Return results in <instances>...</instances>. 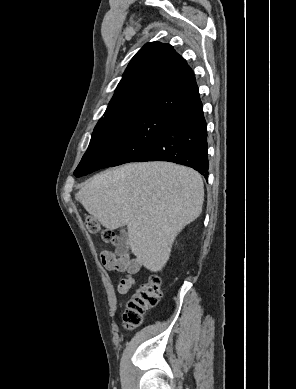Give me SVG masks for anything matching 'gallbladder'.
Instances as JSON below:
<instances>
[{
    "mask_svg": "<svg viewBox=\"0 0 296 389\" xmlns=\"http://www.w3.org/2000/svg\"><path fill=\"white\" fill-rule=\"evenodd\" d=\"M127 243H128V234L125 229L120 230V241L118 246L115 249V253L117 255H122L127 250Z\"/></svg>",
    "mask_w": 296,
    "mask_h": 389,
    "instance_id": "gallbladder-1",
    "label": "gallbladder"
}]
</instances>
